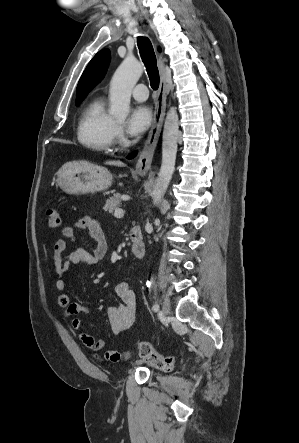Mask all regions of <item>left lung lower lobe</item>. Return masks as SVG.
<instances>
[{"label":"left lung lower lobe","instance_id":"obj_1","mask_svg":"<svg viewBox=\"0 0 299 443\" xmlns=\"http://www.w3.org/2000/svg\"><path fill=\"white\" fill-rule=\"evenodd\" d=\"M136 154H137V152L135 151V152L131 153L130 155H128L127 158H128V159H131V158L135 157Z\"/></svg>","mask_w":299,"mask_h":443}]
</instances>
